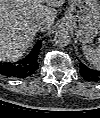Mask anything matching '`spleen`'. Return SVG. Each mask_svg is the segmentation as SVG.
Returning <instances> with one entry per match:
<instances>
[{
	"label": "spleen",
	"instance_id": "obj_1",
	"mask_svg": "<svg viewBox=\"0 0 100 118\" xmlns=\"http://www.w3.org/2000/svg\"><path fill=\"white\" fill-rule=\"evenodd\" d=\"M83 54L86 60L92 64L95 68L100 67V48L99 47H88L86 45L82 46Z\"/></svg>",
	"mask_w": 100,
	"mask_h": 118
}]
</instances>
